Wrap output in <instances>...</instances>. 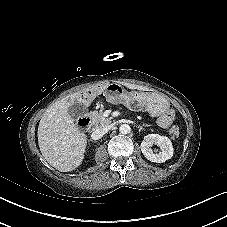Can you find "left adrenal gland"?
<instances>
[{
	"label": "left adrenal gland",
	"instance_id": "obj_1",
	"mask_svg": "<svg viewBox=\"0 0 227 227\" xmlns=\"http://www.w3.org/2000/svg\"><path fill=\"white\" fill-rule=\"evenodd\" d=\"M143 126H144V127H147V126H149V125H147V124H143V125L141 126V128H142Z\"/></svg>",
	"mask_w": 227,
	"mask_h": 227
}]
</instances>
